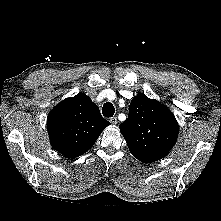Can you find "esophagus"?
<instances>
[{"label":"esophagus","instance_id":"esophagus-1","mask_svg":"<svg viewBox=\"0 0 221 221\" xmlns=\"http://www.w3.org/2000/svg\"><path fill=\"white\" fill-rule=\"evenodd\" d=\"M110 122L111 124L116 125L118 123L117 117L110 118Z\"/></svg>","mask_w":221,"mask_h":221}]
</instances>
